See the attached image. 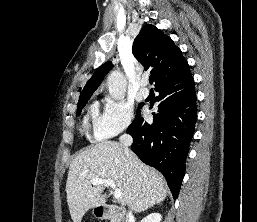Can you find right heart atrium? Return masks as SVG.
Returning <instances> with one entry per match:
<instances>
[{
	"instance_id": "obj_1",
	"label": "right heart atrium",
	"mask_w": 257,
	"mask_h": 222,
	"mask_svg": "<svg viewBox=\"0 0 257 222\" xmlns=\"http://www.w3.org/2000/svg\"><path fill=\"white\" fill-rule=\"evenodd\" d=\"M106 105L109 109L116 110L123 115V125L119 128H112L104 123L103 117H98L94 126V137L96 139L112 138L126 131L133 120L134 108L131 104L124 101L106 100Z\"/></svg>"
}]
</instances>
